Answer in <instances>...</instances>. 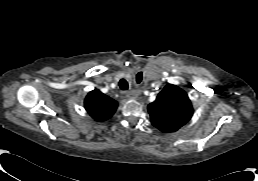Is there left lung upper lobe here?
Listing matches in <instances>:
<instances>
[{
    "mask_svg": "<svg viewBox=\"0 0 258 181\" xmlns=\"http://www.w3.org/2000/svg\"><path fill=\"white\" fill-rule=\"evenodd\" d=\"M152 124L162 132H175L186 124L193 108L188 95L179 87L168 84L156 100L148 105Z\"/></svg>",
    "mask_w": 258,
    "mask_h": 181,
    "instance_id": "5c2ea615",
    "label": "left lung upper lobe"
}]
</instances>
